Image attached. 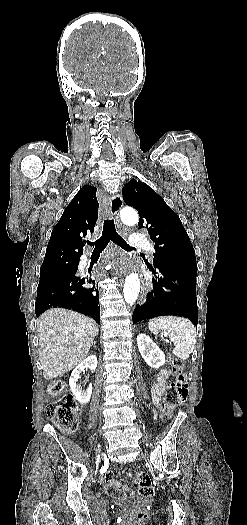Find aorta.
<instances>
[{
  "label": "aorta",
  "instance_id": "762f6f07",
  "mask_svg": "<svg viewBox=\"0 0 247 525\" xmlns=\"http://www.w3.org/2000/svg\"><path fill=\"white\" fill-rule=\"evenodd\" d=\"M121 220L128 226L136 225L139 221L137 212L132 208H123L120 212ZM140 291V280L136 273L132 272L127 276L124 284L123 294L126 303L133 304Z\"/></svg>",
  "mask_w": 247,
  "mask_h": 525
}]
</instances>
